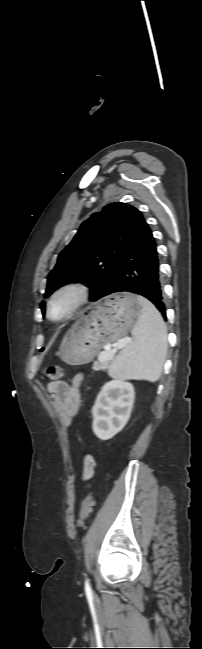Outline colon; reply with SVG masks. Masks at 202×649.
Returning <instances> with one entry per match:
<instances>
[{"label":"colon","mask_w":202,"mask_h":649,"mask_svg":"<svg viewBox=\"0 0 202 649\" xmlns=\"http://www.w3.org/2000/svg\"><path fill=\"white\" fill-rule=\"evenodd\" d=\"M44 374L49 381L52 382L57 381L63 376V369L58 365H51L45 369ZM93 505H94V496L93 494L90 493L86 496V498L83 500L81 505L80 513L77 520V524L79 527H84L86 519L88 518V516L92 511Z\"/></svg>","instance_id":"5ec220e1"}]
</instances>
